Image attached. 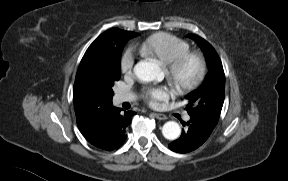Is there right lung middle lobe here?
Returning a JSON list of instances; mask_svg holds the SVG:
<instances>
[{
  "instance_id": "right-lung-middle-lobe-1",
  "label": "right lung middle lobe",
  "mask_w": 288,
  "mask_h": 181,
  "mask_svg": "<svg viewBox=\"0 0 288 181\" xmlns=\"http://www.w3.org/2000/svg\"><path fill=\"white\" fill-rule=\"evenodd\" d=\"M129 38L116 34L100 50L99 61L90 72V79L110 98L114 92L112 86L120 79V58Z\"/></svg>"
}]
</instances>
